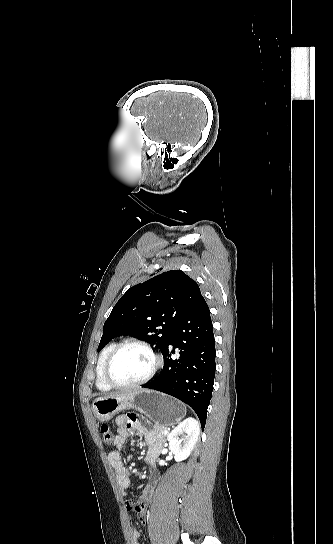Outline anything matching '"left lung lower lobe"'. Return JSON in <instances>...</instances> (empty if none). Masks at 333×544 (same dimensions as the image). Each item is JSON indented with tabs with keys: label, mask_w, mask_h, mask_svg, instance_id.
Masks as SVG:
<instances>
[{
	"label": "left lung lower lobe",
	"mask_w": 333,
	"mask_h": 544,
	"mask_svg": "<svg viewBox=\"0 0 333 544\" xmlns=\"http://www.w3.org/2000/svg\"><path fill=\"white\" fill-rule=\"evenodd\" d=\"M176 348L179 358L173 360ZM162 354V372L142 387L169 394L191 406L204 429L213 391L216 350L209 307L203 296L178 322Z\"/></svg>",
	"instance_id": "1"
}]
</instances>
